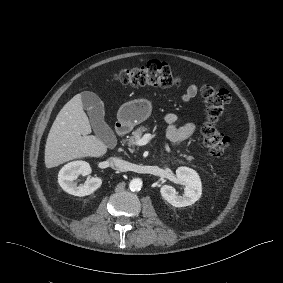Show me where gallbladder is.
Here are the masks:
<instances>
[{
  "label": "gallbladder",
  "instance_id": "bac80fb5",
  "mask_svg": "<svg viewBox=\"0 0 283 283\" xmlns=\"http://www.w3.org/2000/svg\"><path fill=\"white\" fill-rule=\"evenodd\" d=\"M83 108L87 111L90 123L96 136L110 148L117 144L116 136L108 124L104 121V104L93 92L84 91L81 93Z\"/></svg>",
  "mask_w": 283,
  "mask_h": 283
}]
</instances>
